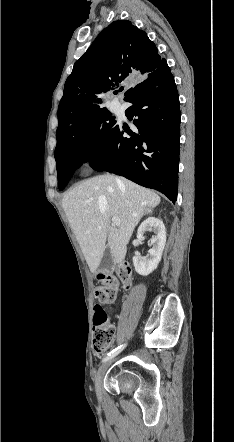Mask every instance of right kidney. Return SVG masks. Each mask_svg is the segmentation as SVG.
I'll return each mask as SVG.
<instances>
[{
    "mask_svg": "<svg viewBox=\"0 0 234 442\" xmlns=\"http://www.w3.org/2000/svg\"><path fill=\"white\" fill-rule=\"evenodd\" d=\"M146 231H153L156 234L151 239L150 245H152V248L148 251L146 257H141L139 253H136L133 257L135 271L142 276L149 275L157 268L166 244V230L161 219L149 217L144 220L138 228L137 238L144 239Z\"/></svg>",
    "mask_w": 234,
    "mask_h": 442,
    "instance_id": "right-kidney-1",
    "label": "right kidney"
}]
</instances>
